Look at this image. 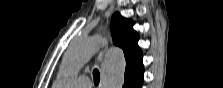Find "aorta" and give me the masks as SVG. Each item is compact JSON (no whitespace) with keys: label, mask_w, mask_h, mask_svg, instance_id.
<instances>
[{"label":"aorta","mask_w":223,"mask_h":88,"mask_svg":"<svg viewBox=\"0 0 223 88\" xmlns=\"http://www.w3.org/2000/svg\"><path fill=\"white\" fill-rule=\"evenodd\" d=\"M101 39L97 36L77 38L67 49L60 68L58 86L70 88L80 69L97 52ZM126 60L119 48H111L104 59L101 81L103 88H122Z\"/></svg>","instance_id":"aorta-1"}]
</instances>
